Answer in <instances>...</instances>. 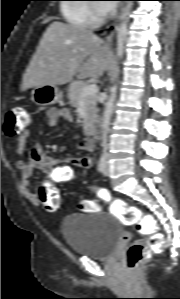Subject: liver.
<instances>
[{"mask_svg": "<svg viewBox=\"0 0 180 299\" xmlns=\"http://www.w3.org/2000/svg\"><path fill=\"white\" fill-rule=\"evenodd\" d=\"M110 62V50L92 31L54 21L43 34L25 71L21 91L43 85H64L75 76L98 78Z\"/></svg>", "mask_w": 180, "mask_h": 299, "instance_id": "1", "label": "liver"}]
</instances>
